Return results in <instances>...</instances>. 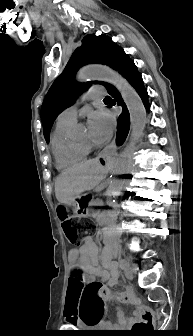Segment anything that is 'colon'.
I'll use <instances>...</instances> for the list:
<instances>
[{"instance_id":"obj_1","label":"colon","mask_w":193,"mask_h":336,"mask_svg":"<svg viewBox=\"0 0 193 336\" xmlns=\"http://www.w3.org/2000/svg\"><path fill=\"white\" fill-rule=\"evenodd\" d=\"M61 225L67 240L72 244L80 242V234L91 225L89 221L83 222L81 226L75 221L74 217L70 215L64 208H60L58 211ZM79 295H81L82 302L79 307L81 318L86 323H96L99 318H92V314L98 313L97 309H94L90 302L96 301L103 293V285L99 281L84 282L82 279L78 280ZM140 313V319L131 330L132 336H143L148 331L153 329L154 326V312L146 305L139 304L135 306Z\"/></svg>"}]
</instances>
